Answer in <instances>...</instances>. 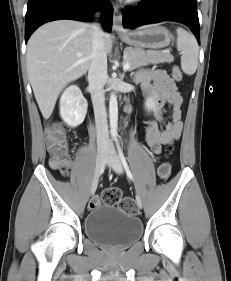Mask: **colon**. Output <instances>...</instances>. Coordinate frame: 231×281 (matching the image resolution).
I'll return each instance as SVG.
<instances>
[{
  "instance_id": "obj_1",
  "label": "colon",
  "mask_w": 231,
  "mask_h": 281,
  "mask_svg": "<svg viewBox=\"0 0 231 281\" xmlns=\"http://www.w3.org/2000/svg\"><path fill=\"white\" fill-rule=\"evenodd\" d=\"M172 77L175 81L182 80V72L179 67L172 69ZM46 142L51 155L50 165L53 168L63 170L69 164L68 143L63 126L60 123H53L46 128ZM158 176L161 180L166 181L171 174V166L168 163H162L158 167ZM101 203L107 205H118L125 213L135 215L138 208L132 198H122L121 191L118 188L106 189L101 197H95L90 201V207L95 208Z\"/></svg>"
}]
</instances>
